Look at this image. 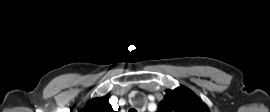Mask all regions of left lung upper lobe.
Segmentation results:
<instances>
[{
  "label": "left lung upper lobe",
  "mask_w": 270,
  "mask_h": 112,
  "mask_svg": "<svg viewBox=\"0 0 270 112\" xmlns=\"http://www.w3.org/2000/svg\"><path fill=\"white\" fill-rule=\"evenodd\" d=\"M157 112H210L208 107L188 88L169 90L159 103Z\"/></svg>",
  "instance_id": "left-lung-upper-lobe-1"
}]
</instances>
